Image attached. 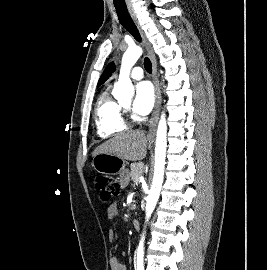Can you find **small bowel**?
<instances>
[{
    "label": "small bowel",
    "instance_id": "small-bowel-1",
    "mask_svg": "<svg viewBox=\"0 0 267 270\" xmlns=\"http://www.w3.org/2000/svg\"><path fill=\"white\" fill-rule=\"evenodd\" d=\"M129 181V177L128 174L123 173L120 177V183L121 185L124 187L127 185ZM118 214V207L116 205H110L107 208V217L108 219H114ZM108 239L110 242L114 241V232L112 230H110L108 232ZM109 264H110V268L111 270H126L125 265L119 260L115 250L112 251L110 259H109Z\"/></svg>",
    "mask_w": 267,
    "mask_h": 270
}]
</instances>
